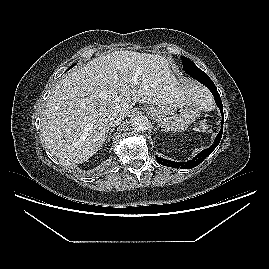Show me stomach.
Instances as JSON below:
<instances>
[{"label": "stomach", "mask_w": 269, "mask_h": 269, "mask_svg": "<svg viewBox=\"0 0 269 269\" xmlns=\"http://www.w3.org/2000/svg\"><path fill=\"white\" fill-rule=\"evenodd\" d=\"M201 107L191 99L165 106L147 107L150 117L157 122L158 128L165 132L186 130L200 114Z\"/></svg>", "instance_id": "stomach-1"}]
</instances>
